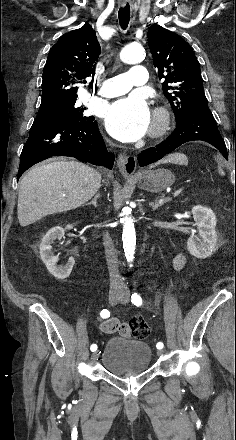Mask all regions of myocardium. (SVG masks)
<instances>
[{
  "instance_id": "f54148a6",
  "label": "myocardium",
  "mask_w": 236,
  "mask_h": 440,
  "mask_svg": "<svg viewBox=\"0 0 236 440\" xmlns=\"http://www.w3.org/2000/svg\"><path fill=\"white\" fill-rule=\"evenodd\" d=\"M171 114L167 107L160 106L155 110L154 119L150 130L152 137L162 136L169 128Z\"/></svg>"
}]
</instances>
